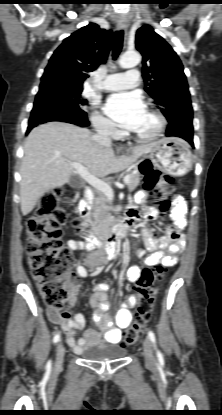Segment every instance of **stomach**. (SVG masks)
<instances>
[{
  "label": "stomach",
  "instance_id": "obj_1",
  "mask_svg": "<svg viewBox=\"0 0 222 415\" xmlns=\"http://www.w3.org/2000/svg\"><path fill=\"white\" fill-rule=\"evenodd\" d=\"M146 158L155 167L173 176L187 174L193 164L189 145L178 138H164L155 142Z\"/></svg>",
  "mask_w": 222,
  "mask_h": 415
}]
</instances>
